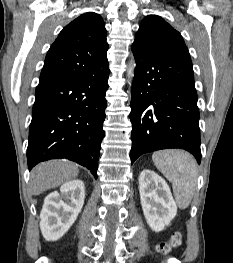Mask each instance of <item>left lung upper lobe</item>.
I'll return each mask as SVG.
<instances>
[{"instance_id":"1","label":"left lung upper lobe","mask_w":233,"mask_h":263,"mask_svg":"<svg viewBox=\"0 0 233 263\" xmlns=\"http://www.w3.org/2000/svg\"><path fill=\"white\" fill-rule=\"evenodd\" d=\"M132 47L169 57L190 59L181 34L157 15L143 19Z\"/></svg>"}]
</instances>
